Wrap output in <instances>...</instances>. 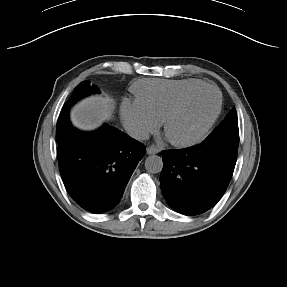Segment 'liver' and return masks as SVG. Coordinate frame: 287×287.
Wrapping results in <instances>:
<instances>
[{"mask_svg": "<svg viewBox=\"0 0 287 287\" xmlns=\"http://www.w3.org/2000/svg\"><path fill=\"white\" fill-rule=\"evenodd\" d=\"M113 108L111 99L90 97L74 107L71 120L73 125L81 130H93L110 118Z\"/></svg>", "mask_w": 287, "mask_h": 287, "instance_id": "1", "label": "liver"}]
</instances>
